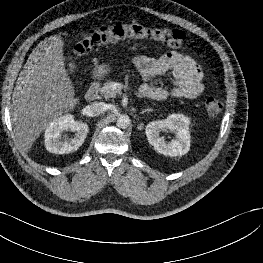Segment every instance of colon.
Returning a JSON list of instances; mask_svg holds the SVG:
<instances>
[{"mask_svg":"<svg viewBox=\"0 0 263 263\" xmlns=\"http://www.w3.org/2000/svg\"><path fill=\"white\" fill-rule=\"evenodd\" d=\"M150 39L173 48H184L188 39L184 32L173 28L147 27L138 23H116L102 26L82 34L74 46V55L81 56L101 45L124 39ZM205 113L209 118L217 117L222 111V103L216 98L205 102Z\"/></svg>","mask_w":263,"mask_h":263,"instance_id":"5ec220e1","label":"colon"}]
</instances>
